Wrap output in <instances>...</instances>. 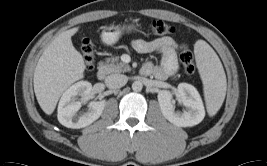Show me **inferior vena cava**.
Instances as JSON below:
<instances>
[{"mask_svg": "<svg viewBox=\"0 0 267 166\" xmlns=\"http://www.w3.org/2000/svg\"><path fill=\"white\" fill-rule=\"evenodd\" d=\"M128 79L122 74H112L107 76L105 79V84L108 88H120L127 83Z\"/></svg>", "mask_w": 267, "mask_h": 166, "instance_id": "1", "label": "inferior vena cava"}]
</instances>
